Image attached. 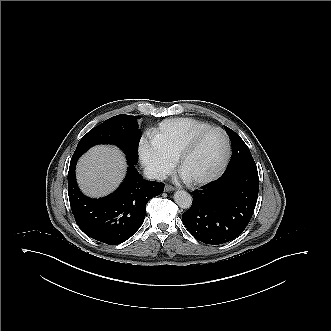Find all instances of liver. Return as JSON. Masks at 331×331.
<instances>
[{
    "label": "liver",
    "instance_id": "liver-1",
    "mask_svg": "<svg viewBox=\"0 0 331 331\" xmlns=\"http://www.w3.org/2000/svg\"><path fill=\"white\" fill-rule=\"evenodd\" d=\"M126 160L116 147L98 145L78 161L76 178L82 192L98 198L114 191L126 173Z\"/></svg>",
    "mask_w": 331,
    "mask_h": 331
}]
</instances>
